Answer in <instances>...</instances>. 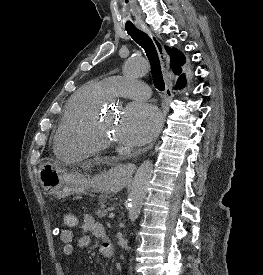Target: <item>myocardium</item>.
<instances>
[{"mask_svg": "<svg viewBox=\"0 0 263 275\" xmlns=\"http://www.w3.org/2000/svg\"><path fill=\"white\" fill-rule=\"evenodd\" d=\"M102 110L96 111L82 126L80 141L96 151H104L117 146V140L105 136L102 132Z\"/></svg>", "mask_w": 263, "mask_h": 275, "instance_id": "f54148a6", "label": "myocardium"}]
</instances>
